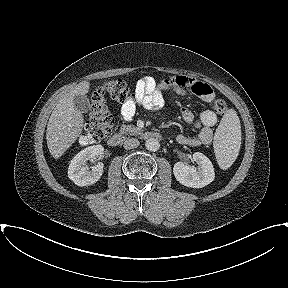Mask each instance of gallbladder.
I'll use <instances>...</instances> for the list:
<instances>
[{
    "label": "gallbladder",
    "mask_w": 288,
    "mask_h": 288,
    "mask_svg": "<svg viewBox=\"0 0 288 288\" xmlns=\"http://www.w3.org/2000/svg\"><path fill=\"white\" fill-rule=\"evenodd\" d=\"M74 106L79 111L86 113L90 108V102L87 96L85 95H76L74 96Z\"/></svg>",
    "instance_id": "1"
}]
</instances>
